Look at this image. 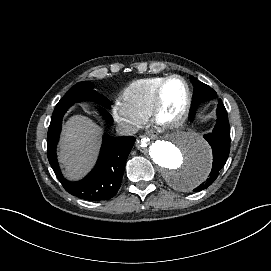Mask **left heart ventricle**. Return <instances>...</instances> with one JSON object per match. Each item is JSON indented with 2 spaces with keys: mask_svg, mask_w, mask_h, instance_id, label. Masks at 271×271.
Here are the masks:
<instances>
[{
  "mask_svg": "<svg viewBox=\"0 0 271 271\" xmlns=\"http://www.w3.org/2000/svg\"><path fill=\"white\" fill-rule=\"evenodd\" d=\"M186 87L178 79L172 80L165 90V104L168 112L172 113L179 109L186 99Z\"/></svg>",
  "mask_w": 271,
  "mask_h": 271,
  "instance_id": "1",
  "label": "left heart ventricle"
}]
</instances>
